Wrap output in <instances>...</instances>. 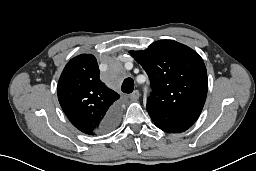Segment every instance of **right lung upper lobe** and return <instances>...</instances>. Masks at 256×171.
<instances>
[{"label":"right lung upper lobe","mask_w":256,"mask_h":171,"mask_svg":"<svg viewBox=\"0 0 256 171\" xmlns=\"http://www.w3.org/2000/svg\"><path fill=\"white\" fill-rule=\"evenodd\" d=\"M99 74L96 58L81 54L68 62L58 82V100L64 113L88 135L106 131L102 123L120 97L100 80Z\"/></svg>","instance_id":"1"}]
</instances>
